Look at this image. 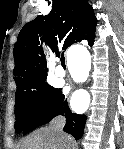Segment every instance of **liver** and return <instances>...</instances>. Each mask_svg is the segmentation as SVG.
Masks as SVG:
<instances>
[{
    "label": "liver",
    "mask_w": 124,
    "mask_h": 149,
    "mask_svg": "<svg viewBox=\"0 0 124 149\" xmlns=\"http://www.w3.org/2000/svg\"><path fill=\"white\" fill-rule=\"evenodd\" d=\"M67 136V135H64ZM68 139H72L68 136ZM62 142L51 127L41 128L22 142L21 149H62ZM74 141L72 139V145ZM72 145H70L72 147Z\"/></svg>",
    "instance_id": "obj_1"
}]
</instances>
